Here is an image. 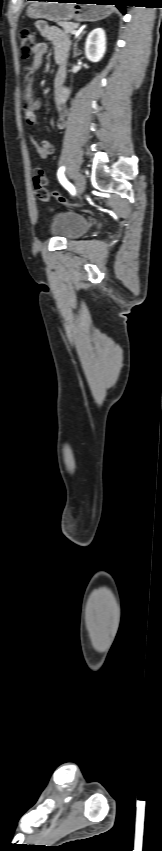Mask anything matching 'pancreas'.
<instances>
[{"instance_id": "cf45deb5", "label": "pancreas", "mask_w": 162, "mask_h": 851, "mask_svg": "<svg viewBox=\"0 0 162 851\" xmlns=\"http://www.w3.org/2000/svg\"><path fill=\"white\" fill-rule=\"evenodd\" d=\"M57 24L60 27L63 28L64 33H66V34L72 33L73 31H75L79 27L78 23H73V22H58Z\"/></svg>"}]
</instances>
